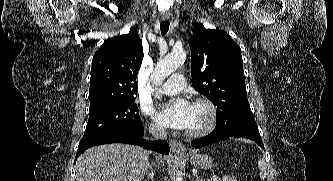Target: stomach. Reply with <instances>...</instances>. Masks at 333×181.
<instances>
[{
    "instance_id": "stomach-1",
    "label": "stomach",
    "mask_w": 333,
    "mask_h": 181,
    "mask_svg": "<svg viewBox=\"0 0 333 181\" xmlns=\"http://www.w3.org/2000/svg\"><path fill=\"white\" fill-rule=\"evenodd\" d=\"M193 166L200 169H210L213 166V159L206 154H197L190 157Z\"/></svg>"
}]
</instances>
